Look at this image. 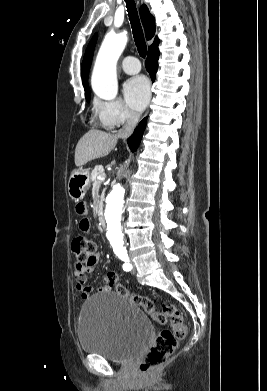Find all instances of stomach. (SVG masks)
Here are the masks:
<instances>
[{"label":"stomach","instance_id":"1","mask_svg":"<svg viewBox=\"0 0 267 391\" xmlns=\"http://www.w3.org/2000/svg\"><path fill=\"white\" fill-rule=\"evenodd\" d=\"M91 175L89 170L79 168L74 170L68 181V195L74 201L83 199L90 188Z\"/></svg>","mask_w":267,"mask_h":391}]
</instances>
